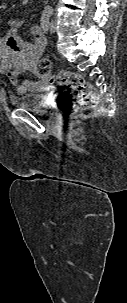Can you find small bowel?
Here are the masks:
<instances>
[{
  "mask_svg": "<svg viewBox=\"0 0 127 303\" xmlns=\"http://www.w3.org/2000/svg\"><path fill=\"white\" fill-rule=\"evenodd\" d=\"M0 17V23H1ZM22 20L10 19L9 29L0 35V74L16 87L18 93L37 92L48 88V79L37 73L36 62L46 49V36L42 26L31 27L32 41H24L19 36ZM30 72L37 80L25 79L19 83V76Z\"/></svg>",
  "mask_w": 127,
  "mask_h": 303,
  "instance_id": "1",
  "label": "small bowel"
}]
</instances>
